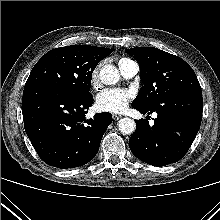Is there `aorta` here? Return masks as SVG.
Here are the masks:
<instances>
[{
    "instance_id": "obj_1",
    "label": "aorta",
    "mask_w": 220,
    "mask_h": 220,
    "mask_svg": "<svg viewBox=\"0 0 220 220\" xmlns=\"http://www.w3.org/2000/svg\"><path fill=\"white\" fill-rule=\"evenodd\" d=\"M99 77L102 83L106 85L116 84L120 79L118 69L113 65H104L100 69ZM136 124L131 118H122L118 122V129L123 134H132L135 131Z\"/></svg>"
}]
</instances>
